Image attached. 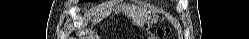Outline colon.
I'll use <instances>...</instances> for the list:
<instances>
[{"instance_id":"1","label":"colon","mask_w":249,"mask_h":39,"mask_svg":"<svg viewBox=\"0 0 249 39\" xmlns=\"http://www.w3.org/2000/svg\"><path fill=\"white\" fill-rule=\"evenodd\" d=\"M157 33L159 37H163L165 34L169 33V28L159 29Z\"/></svg>"}]
</instances>
